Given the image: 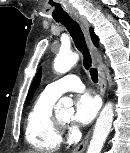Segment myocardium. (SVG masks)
<instances>
[{
    "label": "myocardium",
    "mask_w": 130,
    "mask_h": 153,
    "mask_svg": "<svg viewBox=\"0 0 130 153\" xmlns=\"http://www.w3.org/2000/svg\"><path fill=\"white\" fill-rule=\"evenodd\" d=\"M54 118H55L56 124L58 125V127H59L60 129H63V128L66 127L67 122L62 121V120L60 119V117L55 116V115H54Z\"/></svg>",
    "instance_id": "myocardium-1"
}]
</instances>
